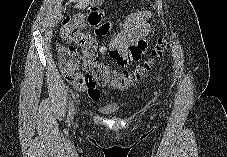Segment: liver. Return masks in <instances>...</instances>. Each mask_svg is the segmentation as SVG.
Listing matches in <instances>:
<instances>
[{"label":"liver","mask_w":227,"mask_h":157,"mask_svg":"<svg viewBox=\"0 0 227 157\" xmlns=\"http://www.w3.org/2000/svg\"><path fill=\"white\" fill-rule=\"evenodd\" d=\"M85 2H86V3H89L90 1H89V0H86Z\"/></svg>","instance_id":"6515ba94"}]
</instances>
